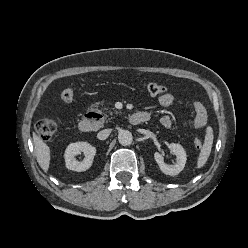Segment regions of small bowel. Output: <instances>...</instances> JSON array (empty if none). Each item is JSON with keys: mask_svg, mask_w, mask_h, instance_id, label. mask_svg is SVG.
I'll list each match as a JSON object with an SVG mask.
<instances>
[{"mask_svg": "<svg viewBox=\"0 0 248 248\" xmlns=\"http://www.w3.org/2000/svg\"><path fill=\"white\" fill-rule=\"evenodd\" d=\"M174 100L175 97L171 93L162 94L158 98L160 105L164 107L170 106L174 102ZM193 109H194L193 125L196 128L204 127L208 121V113L206 107L200 101H193ZM160 122L164 127L169 128L172 125V118L169 115H164L161 118Z\"/></svg>", "mask_w": 248, "mask_h": 248, "instance_id": "1", "label": "small bowel"}]
</instances>
